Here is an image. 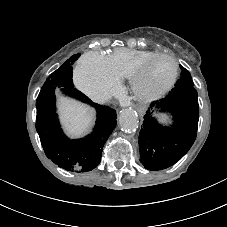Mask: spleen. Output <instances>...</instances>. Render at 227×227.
<instances>
[{
  "instance_id": "obj_1",
  "label": "spleen",
  "mask_w": 227,
  "mask_h": 227,
  "mask_svg": "<svg viewBox=\"0 0 227 227\" xmlns=\"http://www.w3.org/2000/svg\"><path fill=\"white\" fill-rule=\"evenodd\" d=\"M160 121H161V122H166V121H167V118L164 117V116H160Z\"/></svg>"
}]
</instances>
